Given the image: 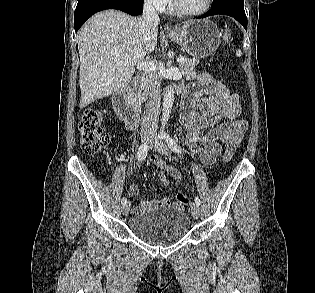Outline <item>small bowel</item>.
<instances>
[{
	"label": "small bowel",
	"instance_id": "small-bowel-1",
	"mask_svg": "<svg viewBox=\"0 0 315 293\" xmlns=\"http://www.w3.org/2000/svg\"><path fill=\"white\" fill-rule=\"evenodd\" d=\"M199 108L200 114L196 109ZM241 107L236 94L230 93L219 80L202 73L183 92L180 122L187 130L185 144L187 149L206 165L213 164L222 150V144L232 153L242 140L247 130V122L240 118ZM150 164L162 170L161 181L168 185L167 176L180 181L181 173L168 166L160 157L154 156ZM137 193L132 186L129 194ZM137 200V197H131ZM169 197L157 200H141L135 208L136 213L154 206H169Z\"/></svg>",
	"mask_w": 315,
	"mask_h": 293
}]
</instances>
